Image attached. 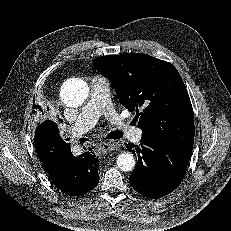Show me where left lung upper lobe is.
I'll return each mask as SVG.
<instances>
[{"instance_id": "left-lung-upper-lobe-1", "label": "left lung upper lobe", "mask_w": 231, "mask_h": 231, "mask_svg": "<svg viewBox=\"0 0 231 231\" xmlns=\"http://www.w3.org/2000/svg\"><path fill=\"white\" fill-rule=\"evenodd\" d=\"M93 66L113 85L121 104L136 111L143 139H158L178 149L193 148L192 104L177 69L147 54L102 56Z\"/></svg>"}]
</instances>
